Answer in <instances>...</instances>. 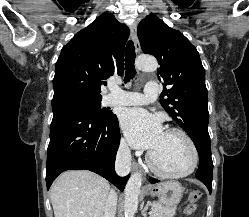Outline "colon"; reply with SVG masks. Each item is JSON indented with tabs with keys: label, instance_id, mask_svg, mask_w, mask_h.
<instances>
[{
	"label": "colon",
	"instance_id": "colon-1",
	"mask_svg": "<svg viewBox=\"0 0 249 217\" xmlns=\"http://www.w3.org/2000/svg\"><path fill=\"white\" fill-rule=\"evenodd\" d=\"M201 193L198 190H191L189 193V204L186 206L184 213L189 216L196 210V202L200 199Z\"/></svg>",
	"mask_w": 249,
	"mask_h": 217
}]
</instances>
